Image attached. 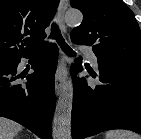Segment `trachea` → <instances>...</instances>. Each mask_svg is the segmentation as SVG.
I'll return each mask as SVG.
<instances>
[{"label": "trachea", "instance_id": "1", "mask_svg": "<svg viewBox=\"0 0 141 139\" xmlns=\"http://www.w3.org/2000/svg\"><path fill=\"white\" fill-rule=\"evenodd\" d=\"M50 37L56 39V41L59 43V45L61 46V48L64 50L66 54H68L69 56L75 55L72 49L65 43V40L62 37L61 32L55 23L52 25V31Z\"/></svg>", "mask_w": 141, "mask_h": 139}]
</instances>
